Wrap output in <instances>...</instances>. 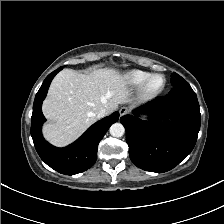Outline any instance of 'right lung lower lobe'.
Segmentation results:
<instances>
[{
	"instance_id": "98d812e1",
	"label": "right lung lower lobe",
	"mask_w": 224,
	"mask_h": 224,
	"mask_svg": "<svg viewBox=\"0 0 224 224\" xmlns=\"http://www.w3.org/2000/svg\"><path fill=\"white\" fill-rule=\"evenodd\" d=\"M62 70L58 68L44 80L36 94L31 121V136L41 159L52 169L66 175L81 173L94 165L97 158V147L109 127L118 121L119 113L93 124L77 141L64 148H56L49 144L42 136L41 127L45 118L41 106L46 97L49 85L54 76Z\"/></svg>"
}]
</instances>
